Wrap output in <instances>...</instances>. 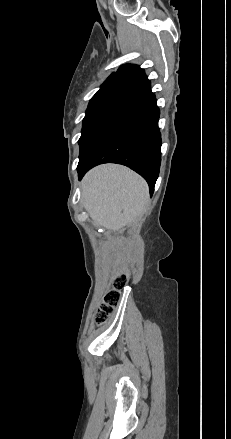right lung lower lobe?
Returning a JSON list of instances; mask_svg holds the SVG:
<instances>
[{
    "label": "right lung lower lobe",
    "instance_id": "obj_1",
    "mask_svg": "<svg viewBox=\"0 0 231 439\" xmlns=\"http://www.w3.org/2000/svg\"><path fill=\"white\" fill-rule=\"evenodd\" d=\"M141 116L126 121L106 133L79 160V179L92 167L102 163H118L130 167L149 184L152 196L161 163V135L158 128L159 109L150 88L135 96Z\"/></svg>",
    "mask_w": 231,
    "mask_h": 439
}]
</instances>
